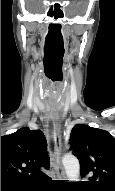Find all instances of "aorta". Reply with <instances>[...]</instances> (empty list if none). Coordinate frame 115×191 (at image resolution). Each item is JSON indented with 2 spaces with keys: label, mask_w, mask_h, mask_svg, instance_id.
<instances>
[{
  "label": "aorta",
  "mask_w": 115,
  "mask_h": 191,
  "mask_svg": "<svg viewBox=\"0 0 115 191\" xmlns=\"http://www.w3.org/2000/svg\"><path fill=\"white\" fill-rule=\"evenodd\" d=\"M67 179L70 182L78 181L80 174V165L78 159L73 155H65L62 159Z\"/></svg>",
  "instance_id": "obj_1"
}]
</instances>
